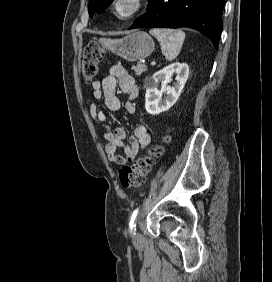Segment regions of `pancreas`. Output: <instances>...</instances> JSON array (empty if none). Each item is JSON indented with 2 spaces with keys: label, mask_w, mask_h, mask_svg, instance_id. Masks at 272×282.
Returning <instances> with one entry per match:
<instances>
[{
  "label": "pancreas",
  "mask_w": 272,
  "mask_h": 282,
  "mask_svg": "<svg viewBox=\"0 0 272 282\" xmlns=\"http://www.w3.org/2000/svg\"><path fill=\"white\" fill-rule=\"evenodd\" d=\"M132 70H134L136 75H141L143 72L147 70V67L145 64L139 62L136 66L132 67Z\"/></svg>",
  "instance_id": "pancreas-1"
}]
</instances>
